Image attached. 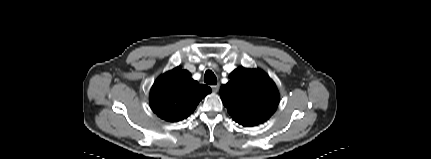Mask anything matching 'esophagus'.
<instances>
[{
  "label": "esophagus",
  "instance_id": "34e87169",
  "mask_svg": "<svg viewBox=\"0 0 431 159\" xmlns=\"http://www.w3.org/2000/svg\"><path fill=\"white\" fill-rule=\"evenodd\" d=\"M211 89H212V91H213L214 93L218 92V90H219V84L212 85V86H211Z\"/></svg>",
  "mask_w": 431,
  "mask_h": 159
}]
</instances>
